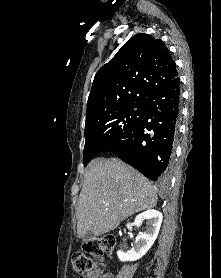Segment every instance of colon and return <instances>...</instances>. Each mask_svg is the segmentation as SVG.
<instances>
[{
    "mask_svg": "<svg viewBox=\"0 0 221 278\" xmlns=\"http://www.w3.org/2000/svg\"><path fill=\"white\" fill-rule=\"evenodd\" d=\"M115 244L113 237H103L88 242L84 250L86 253L102 260L106 251L110 250ZM72 264L75 272L81 274L80 278H94L101 273L100 267L92 258L84 253H76L72 256Z\"/></svg>",
    "mask_w": 221,
    "mask_h": 278,
    "instance_id": "obj_1",
    "label": "colon"
}]
</instances>
